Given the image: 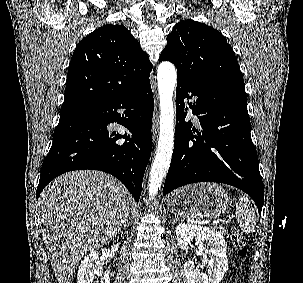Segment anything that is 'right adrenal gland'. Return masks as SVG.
<instances>
[{
	"label": "right adrenal gland",
	"instance_id": "right-adrenal-gland-1",
	"mask_svg": "<svg viewBox=\"0 0 303 283\" xmlns=\"http://www.w3.org/2000/svg\"><path fill=\"white\" fill-rule=\"evenodd\" d=\"M128 217H129V208L127 207L124 213V216L121 219L119 228H118V233L121 231L122 227H125L128 225Z\"/></svg>",
	"mask_w": 303,
	"mask_h": 283
}]
</instances>
